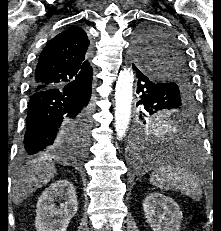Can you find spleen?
<instances>
[{"label":"spleen","instance_id":"spleen-1","mask_svg":"<svg viewBox=\"0 0 221 231\" xmlns=\"http://www.w3.org/2000/svg\"><path fill=\"white\" fill-rule=\"evenodd\" d=\"M150 183L162 190H174L198 200L202 189L199 180L188 169L181 167L177 162L167 161L153 171Z\"/></svg>","mask_w":221,"mask_h":231}]
</instances>
